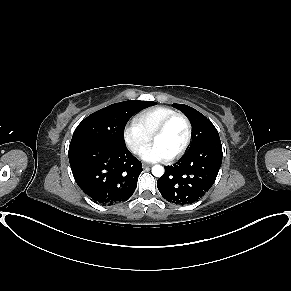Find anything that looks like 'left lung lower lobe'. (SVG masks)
<instances>
[{"label": "left lung lower lobe", "mask_w": 291, "mask_h": 291, "mask_svg": "<svg viewBox=\"0 0 291 291\" xmlns=\"http://www.w3.org/2000/svg\"><path fill=\"white\" fill-rule=\"evenodd\" d=\"M220 140L197 146L175 164L165 166L157 187L164 199L174 204L198 201L214 184L222 162Z\"/></svg>", "instance_id": "obj_1"}]
</instances>
